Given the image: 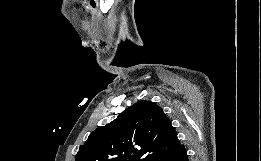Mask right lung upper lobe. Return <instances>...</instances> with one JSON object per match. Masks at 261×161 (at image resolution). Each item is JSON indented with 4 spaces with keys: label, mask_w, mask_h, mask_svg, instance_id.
I'll list each match as a JSON object with an SVG mask.
<instances>
[{
    "label": "right lung upper lobe",
    "mask_w": 261,
    "mask_h": 161,
    "mask_svg": "<svg viewBox=\"0 0 261 161\" xmlns=\"http://www.w3.org/2000/svg\"><path fill=\"white\" fill-rule=\"evenodd\" d=\"M178 145L177 134L163 110L141 100L95 129L80 146L75 161H149Z\"/></svg>",
    "instance_id": "1"
}]
</instances>
